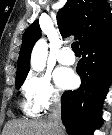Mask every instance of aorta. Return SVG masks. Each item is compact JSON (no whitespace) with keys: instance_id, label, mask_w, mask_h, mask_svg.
Returning <instances> with one entry per match:
<instances>
[{"instance_id":"obj_1","label":"aorta","mask_w":112,"mask_h":135,"mask_svg":"<svg viewBox=\"0 0 112 135\" xmlns=\"http://www.w3.org/2000/svg\"><path fill=\"white\" fill-rule=\"evenodd\" d=\"M48 55L47 43L44 39L39 40L31 54V68L37 72L44 70Z\"/></svg>"}]
</instances>
